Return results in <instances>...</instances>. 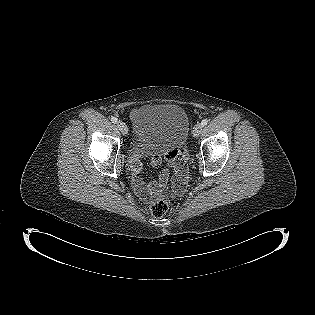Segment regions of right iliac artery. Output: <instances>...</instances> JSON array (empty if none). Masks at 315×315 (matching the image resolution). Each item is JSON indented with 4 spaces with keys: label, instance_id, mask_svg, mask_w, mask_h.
I'll use <instances>...</instances> for the list:
<instances>
[{
    "label": "right iliac artery",
    "instance_id": "82829eb1",
    "mask_svg": "<svg viewBox=\"0 0 315 315\" xmlns=\"http://www.w3.org/2000/svg\"><path fill=\"white\" fill-rule=\"evenodd\" d=\"M111 121H112L113 123H117L118 119H117L116 117H112V118H111Z\"/></svg>",
    "mask_w": 315,
    "mask_h": 315
}]
</instances>
